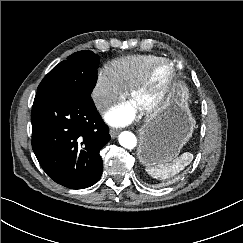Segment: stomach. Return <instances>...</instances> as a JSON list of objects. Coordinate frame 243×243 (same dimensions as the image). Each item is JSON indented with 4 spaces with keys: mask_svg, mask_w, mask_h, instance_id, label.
I'll return each mask as SVG.
<instances>
[{
    "mask_svg": "<svg viewBox=\"0 0 243 243\" xmlns=\"http://www.w3.org/2000/svg\"><path fill=\"white\" fill-rule=\"evenodd\" d=\"M188 98V88L177 84L167 107L142 125L137 155L143 165L172 161L192 136L194 118L188 107Z\"/></svg>",
    "mask_w": 243,
    "mask_h": 243,
    "instance_id": "0dacf381",
    "label": "stomach"
}]
</instances>
